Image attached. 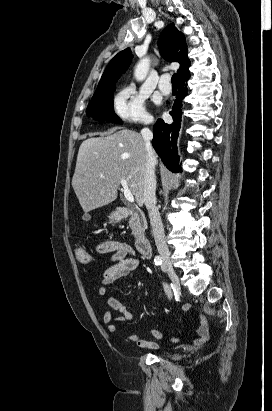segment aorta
Returning <instances> with one entry per match:
<instances>
[{"instance_id": "762f6f07", "label": "aorta", "mask_w": 272, "mask_h": 411, "mask_svg": "<svg viewBox=\"0 0 272 411\" xmlns=\"http://www.w3.org/2000/svg\"><path fill=\"white\" fill-rule=\"evenodd\" d=\"M149 68V59H143L136 65L134 76L137 80L145 79Z\"/></svg>"}]
</instances>
